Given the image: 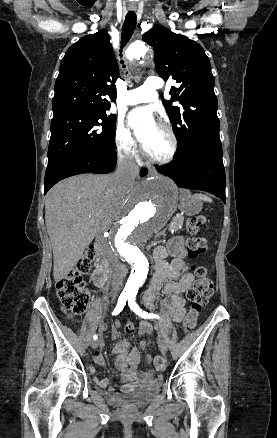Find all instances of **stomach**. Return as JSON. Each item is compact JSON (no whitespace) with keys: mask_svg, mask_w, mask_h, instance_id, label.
<instances>
[{"mask_svg":"<svg viewBox=\"0 0 277 438\" xmlns=\"http://www.w3.org/2000/svg\"><path fill=\"white\" fill-rule=\"evenodd\" d=\"M179 209L185 214L193 216L198 214L202 209V202L188 193H182L180 198ZM179 246V243L176 244Z\"/></svg>","mask_w":277,"mask_h":438,"instance_id":"0dacf381","label":"stomach"}]
</instances>
